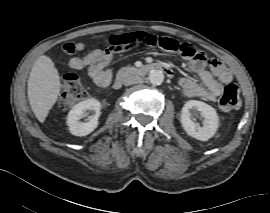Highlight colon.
I'll list each match as a JSON object with an SVG mask.
<instances>
[{"mask_svg":"<svg viewBox=\"0 0 270 213\" xmlns=\"http://www.w3.org/2000/svg\"><path fill=\"white\" fill-rule=\"evenodd\" d=\"M145 44L163 51L180 49L184 55L197 61L205 62L206 55L202 51H194L189 43H178L176 40L163 36L150 35L143 32L121 34L113 37L107 52L120 53L131 50L139 45ZM219 76L226 75V68L217 70ZM87 89L76 76L66 78L62 84L59 103L62 106H73L87 98ZM223 111L236 110L241 105L239 88L233 83H228L219 101Z\"/></svg>","mask_w":270,"mask_h":213,"instance_id":"obj_1","label":"colon"}]
</instances>
